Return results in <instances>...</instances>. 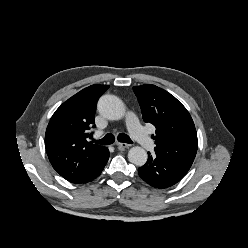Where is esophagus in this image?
<instances>
[{"label":"esophagus","mask_w":248,"mask_h":248,"mask_svg":"<svg viewBox=\"0 0 248 248\" xmlns=\"http://www.w3.org/2000/svg\"><path fill=\"white\" fill-rule=\"evenodd\" d=\"M116 145H117L119 150H123V149L128 148L130 146L127 143H121V142H117Z\"/></svg>","instance_id":"1"}]
</instances>
